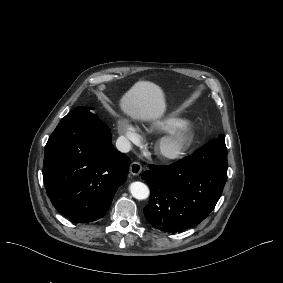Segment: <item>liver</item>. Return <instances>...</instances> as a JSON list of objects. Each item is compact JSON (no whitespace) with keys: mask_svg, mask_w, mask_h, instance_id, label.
I'll return each mask as SVG.
<instances>
[{"mask_svg":"<svg viewBox=\"0 0 283 283\" xmlns=\"http://www.w3.org/2000/svg\"><path fill=\"white\" fill-rule=\"evenodd\" d=\"M118 108L133 122L157 123L168 111L167 93L151 80H137L119 97Z\"/></svg>","mask_w":283,"mask_h":283,"instance_id":"6515ba94","label":"liver"}]
</instances>
